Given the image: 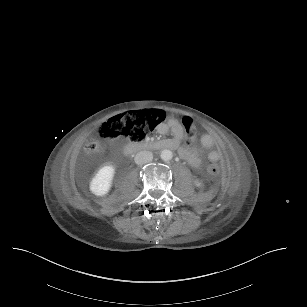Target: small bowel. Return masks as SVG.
I'll return each instance as SVG.
<instances>
[{
  "mask_svg": "<svg viewBox=\"0 0 307 307\" xmlns=\"http://www.w3.org/2000/svg\"><path fill=\"white\" fill-rule=\"evenodd\" d=\"M165 133L167 131L172 132V141L174 143V149H179V155L187 160L191 165L198 167L202 163L201 159V148L209 150L208 158L211 161L219 160L220 153L214 149L215 140L209 134H204L200 139V147H180V143L184 138V131L182 126L178 122H172L169 125H162L159 129Z\"/></svg>",
  "mask_w": 307,
  "mask_h": 307,
  "instance_id": "obj_1",
  "label": "small bowel"
}]
</instances>
